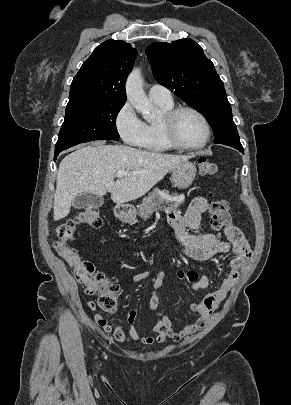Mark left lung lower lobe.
<instances>
[{"label": "left lung lower lobe", "instance_id": "obj_1", "mask_svg": "<svg viewBox=\"0 0 291 405\" xmlns=\"http://www.w3.org/2000/svg\"><path fill=\"white\" fill-rule=\"evenodd\" d=\"M234 148H236L237 150H239L241 153L244 154V150L242 146H235Z\"/></svg>", "mask_w": 291, "mask_h": 405}]
</instances>
